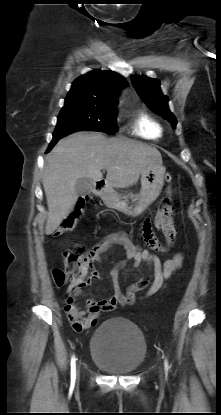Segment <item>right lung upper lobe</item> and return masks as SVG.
Returning a JSON list of instances; mask_svg holds the SVG:
<instances>
[{"instance_id":"cb5924a9","label":"right lung upper lobe","mask_w":221,"mask_h":415,"mask_svg":"<svg viewBox=\"0 0 221 415\" xmlns=\"http://www.w3.org/2000/svg\"><path fill=\"white\" fill-rule=\"evenodd\" d=\"M126 83V79L115 72L95 70L78 77L73 82L66 100L116 104L118 91Z\"/></svg>"}]
</instances>
